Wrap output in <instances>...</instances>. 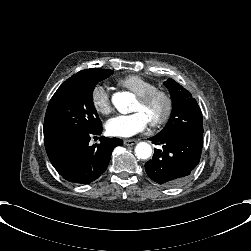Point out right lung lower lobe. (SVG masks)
<instances>
[{
    "label": "right lung lower lobe",
    "instance_id": "obj_1",
    "mask_svg": "<svg viewBox=\"0 0 251 251\" xmlns=\"http://www.w3.org/2000/svg\"><path fill=\"white\" fill-rule=\"evenodd\" d=\"M101 133L102 128L93 132H75L45 142L50 162L65 180L89 184L105 172L112 150L123 141L102 136L99 144L90 145L91 136Z\"/></svg>",
    "mask_w": 251,
    "mask_h": 251
}]
</instances>
